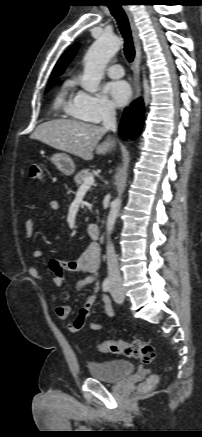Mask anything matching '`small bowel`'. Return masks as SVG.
Here are the masks:
<instances>
[{
  "label": "small bowel",
  "mask_w": 202,
  "mask_h": 437,
  "mask_svg": "<svg viewBox=\"0 0 202 437\" xmlns=\"http://www.w3.org/2000/svg\"><path fill=\"white\" fill-rule=\"evenodd\" d=\"M59 208L60 203L57 200H51L48 204V210L51 212L58 211ZM34 225L35 218H29L25 223V233L28 238L33 235ZM32 256L34 258H40L42 256V251L40 249H34L32 251ZM99 263V249L94 244L89 245L84 253L74 261H50L49 266L53 274V283L55 286L62 287L68 282L67 273L75 272L85 274V277L79 280L76 284V288L78 290H81L86 286H91L93 288L92 293L86 299L83 306L79 309L76 317L68 323V329L73 333L79 332L82 329L85 321L90 317L92 306L99 294V278L97 274ZM29 274L36 281L41 282L44 280L43 272L36 266L30 267ZM101 299L104 304L106 315L108 317H113L114 311L108 296L101 295ZM55 312L60 320L66 321L70 317L71 309L68 305H59L56 307ZM90 328L94 331H99L103 328V325L99 320H94L90 323Z\"/></svg>",
  "instance_id": "1"
}]
</instances>
